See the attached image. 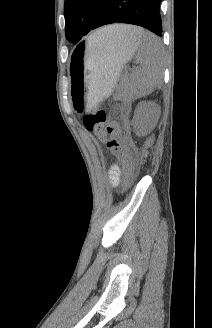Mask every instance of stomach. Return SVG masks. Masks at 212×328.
Wrapping results in <instances>:
<instances>
[{
  "instance_id": "obj_1",
  "label": "stomach",
  "mask_w": 212,
  "mask_h": 328,
  "mask_svg": "<svg viewBox=\"0 0 212 328\" xmlns=\"http://www.w3.org/2000/svg\"><path fill=\"white\" fill-rule=\"evenodd\" d=\"M138 47V40L124 44L91 46L89 41L79 44L70 61L72 95L77 109L91 108L113 90L120 71ZM86 90V91H85Z\"/></svg>"
}]
</instances>
